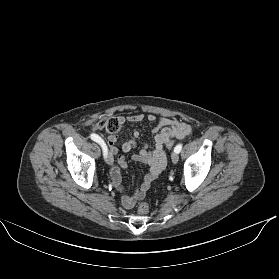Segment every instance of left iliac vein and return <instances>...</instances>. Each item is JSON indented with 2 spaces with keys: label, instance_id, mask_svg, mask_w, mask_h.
Segmentation results:
<instances>
[{
  "label": "left iliac vein",
  "instance_id": "obj_1",
  "mask_svg": "<svg viewBox=\"0 0 279 279\" xmlns=\"http://www.w3.org/2000/svg\"><path fill=\"white\" fill-rule=\"evenodd\" d=\"M171 160H172V162H173L174 164H176V163L178 162V160H179L178 153L173 152V153L171 154Z\"/></svg>",
  "mask_w": 279,
  "mask_h": 279
}]
</instances>
